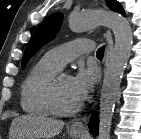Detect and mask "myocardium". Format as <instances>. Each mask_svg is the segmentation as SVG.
I'll return each instance as SVG.
<instances>
[{
	"label": "myocardium",
	"mask_w": 141,
	"mask_h": 139,
	"mask_svg": "<svg viewBox=\"0 0 141 139\" xmlns=\"http://www.w3.org/2000/svg\"><path fill=\"white\" fill-rule=\"evenodd\" d=\"M61 75L64 74L56 73L49 81L46 89V98L52 114L58 116H68L78 112L81 108V104L79 103L70 108H63L59 104L58 96H57V88H58V80Z\"/></svg>",
	"instance_id": "obj_1"
}]
</instances>
